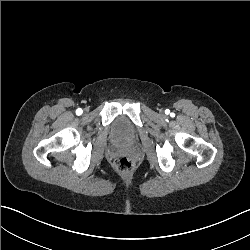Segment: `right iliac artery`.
Masks as SVG:
<instances>
[{
    "label": "right iliac artery",
    "mask_w": 250,
    "mask_h": 250,
    "mask_svg": "<svg viewBox=\"0 0 250 250\" xmlns=\"http://www.w3.org/2000/svg\"><path fill=\"white\" fill-rule=\"evenodd\" d=\"M82 109L81 108H78L77 110H76V114L79 116V115H81L82 114Z\"/></svg>",
    "instance_id": "obj_1"
}]
</instances>
